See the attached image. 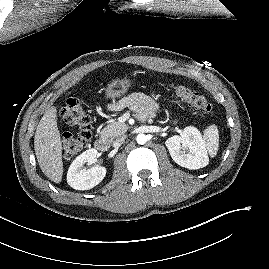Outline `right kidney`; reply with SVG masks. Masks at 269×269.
Returning <instances> with one entry per match:
<instances>
[{
    "label": "right kidney",
    "mask_w": 269,
    "mask_h": 269,
    "mask_svg": "<svg viewBox=\"0 0 269 269\" xmlns=\"http://www.w3.org/2000/svg\"><path fill=\"white\" fill-rule=\"evenodd\" d=\"M96 149H89L80 154L70 165L67 172V183L76 190H89L98 185L106 176V168L96 165L91 169H82L86 163L97 161Z\"/></svg>",
    "instance_id": "right-kidney-1"
}]
</instances>
